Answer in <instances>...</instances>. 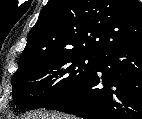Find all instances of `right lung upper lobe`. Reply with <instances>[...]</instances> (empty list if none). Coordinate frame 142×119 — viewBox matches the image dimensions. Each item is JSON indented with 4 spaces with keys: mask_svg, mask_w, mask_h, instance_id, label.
Instances as JSON below:
<instances>
[{
    "mask_svg": "<svg viewBox=\"0 0 142 119\" xmlns=\"http://www.w3.org/2000/svg\"><path fill=\"white\" fill-rule=\"evenodd\" d=\"M141 40L137 0H49L28 34L18 69L65 51L102 55Z\"/></svg>",
    "mask_w": 142,
    "mask_h": 119,
    "instance_id": "right-lung-upper-lobe-1",
    "label": "right lung upper lobe"
}]
</instances>
